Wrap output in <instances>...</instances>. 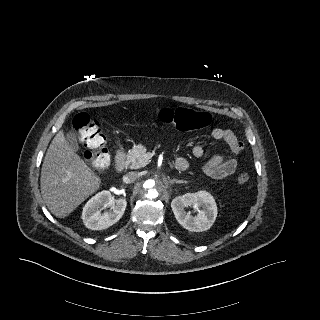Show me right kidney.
<instances>
[{
    "instance_id": "obj_1",
    "label": "right kidney",
    "mask_w": 320,
    "mask_h": 320,
    "mask_svg": "<svg viewBox=\"0 0 320 320\" xmlns=\"http://www.w3.org/2000/svg\"><path fill=\"white\" fill-rule=\"evenodd\" d=\"M125 199H114L112 194L101 191L93 196L84 206L82 219L85 226L92 230L106 229L120 220L126 209ZM111 207L109 212L101 213V210Z\"/></svg>"
}]
</instances>
